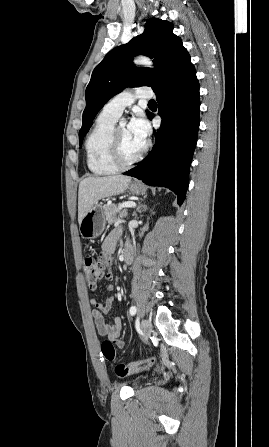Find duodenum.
Here are the masks:
<instances>
[{"label":"duodenum","mask_w":269,"mask_h":447,"mask_svg":"<svg viewBox=\"0 0 269 447\" xmlns=\"http://www.w3.org/2000/svg\"><path fill=\"white\" fill-rule=\"evenodd\" d=\"M123 257V263L128 266L133 261V252L130 248H125L122 254Z\"/></svg>","instance_id":"obj_1"}]
</instances>
